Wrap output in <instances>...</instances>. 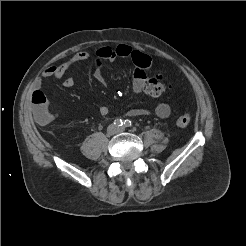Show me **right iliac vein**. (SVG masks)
I'll use <instances>...</instances> for the list:
<instances>
[{
    "label": "right iliac vein",
    "instance_id": "1",
    "mask_svg": "<svg viewBox=\"0 0 246 246\" xmlns=\"http://www.w3.org/2000/svg\"><path fill=\"white\" fill-rule=\"evenodd\" d=\"M116 132H117V128H116L114 125H110V126L107 128V133H108L109 135H114Z\"/></svg>",
    "mask_w": 246,
    "mask_h": 246
}]
</instances>
